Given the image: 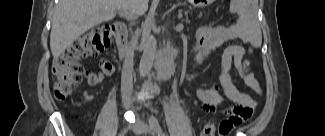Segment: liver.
<instances>
[{
	"label": "liver",
	"instance_id": "6515ba94",
	"mask_svg": "<svg viewBox=\"0 0 325 136\" xmlns=\"http://www.w3.org/2000/svg\"><path fill=\"white\" fill-rule=\"evenodd\" d=\"M127 7L133 13L146 10L145 0H135ZM126 0H59L50 34V48L58 58L82 34L113 19L118 11H125Z\"/></svg>",
	"mask_w": 325,
	"mask_h": 136
}]
</instances>
